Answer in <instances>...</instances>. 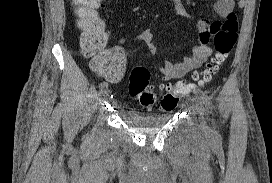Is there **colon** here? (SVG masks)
<instances>
[{"label": "colon", "instance_id": "5ec220e1", "mask_svg": "<svg viewBox=\"0 0 272 183\" xmlns=\"http://www.w3.org/2000/svg\"><path fill=\"white\" fill-rule=\"evenodd\" d=\"M103 2L104 0H72L76 24L80 32L82 52L86 57L92 58L94 67L99 71L106 70L116 59L113 53L105 50L108 33L103 19L98 14ZM211 25H220V30H209L217 32L213 39L215 53L206 68L193 76L200 85L210 81L218 72L237 40L238 23L233 13L223 23L215 22ZM149 80L150 73L146 68L135 67L132 69L128 90L130 95L135 97L145 108L153 107L158 101V96L150 86ZM193 88L191 83H177L169 87L161 98V107L165 111L173 110L180 97Z\"/></svg>", "mask_w": 272, "mask_h": 183}]
</instances>
